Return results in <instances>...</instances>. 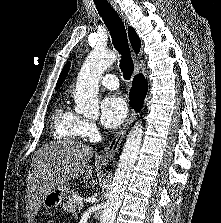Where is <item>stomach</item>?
<instances>
[{
  "label": "stomach",
  "instance_id": "0dacf381",
  "mask_svg": "<svg viewBox=\"0 0 221 223\" xmlns=\"http://www.w3.org/2000/svg\"><path fill=\"white\" fill-rule=\"evenodd\" d=\"M68 193L69 188L66 185L55 187L43 198L41 204L47 209L56 208L67 198Z\"/></svg>",
  "mask_w": 221,
  "mask_h": 223
}]
</instances>
